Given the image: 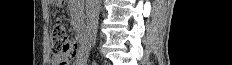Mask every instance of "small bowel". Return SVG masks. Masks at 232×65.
Instances as JSON below:
<instances>
[{
	"instance_id": "1",
	"label": "small bowel",
	"mask_w": 232,
	"mask_h": 65,
	"mask_svg": "<svg viewBox=\"0 0 232 65\" xmlns=\"http://www.w3.org/2000/svg\"><path fill=\"white\" fill-rule=\"evenodd\" d=\"M86 57H87V53L84 54L82 50L80 49L77 60H76V65H85Z\"/></svg>"
}]
</instances>
